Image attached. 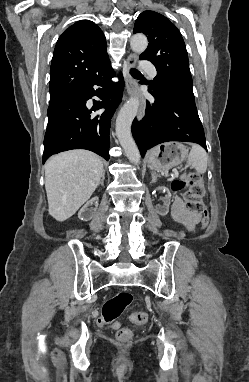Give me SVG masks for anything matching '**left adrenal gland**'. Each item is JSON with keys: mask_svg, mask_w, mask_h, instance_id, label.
Wrapping results in <instances>:
<instances>
[{"mask_svg": "<svg viewBox=\"0 0 249 382\" xmlns=\"http://www.w3.org/2000/svg\"><path fill=\"white\" fill-rule=\"evenodd\" d=\"M151 175H152V182H155L158 176L154 172H151Z\"/></svg>", "mask_w": 249, "mask_h": 382, "instance_id": "left-adrenal-gland-1", "label": "left adrenal gland"}]
</instances>
